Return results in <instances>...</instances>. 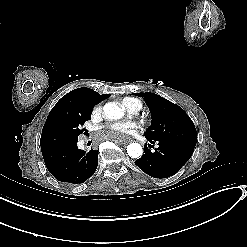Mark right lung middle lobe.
Wrapping results in <instances>:
<instances>
[{
	"label": "right lung middle lobe",
	"instance_id": "1",
	"mask_svg": "<svg viewBox=\"0 0 247 247\" xmlns=\"http://www.w3.org/2000/svg\"><path fill=\"white\" fill-rule=\"evenodd\" d=\"M91 119V113H76L67 119H64L50 126L42 141L41 149H48L64 144L78 141V136L83 133L80 129L85 121Z\"/></svg>",
	"mask_w": 247,
	"mask_h": 247
}]
</instances>
